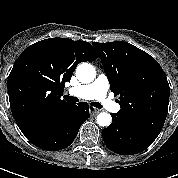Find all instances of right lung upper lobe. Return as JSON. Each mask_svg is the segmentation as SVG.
Segmentation results:
<instances>
[{"label": "right lung upper lobe", "instance_id": "obj_1", "mask_svg": "<svg viewBox=\"0 0 178 178\" xmlns=\"http://www.w3.org/2000/svg\"><path fill=\"white\" fill-rule=\"evenodd\" d=\"M91 44L68 38H50L26 48L8 77V95L20 129L65 112L72 104L61 99L80 62L96 60Z\"/></svg>", "mask_w": 178, "mask_h": 178}]
</instances>
